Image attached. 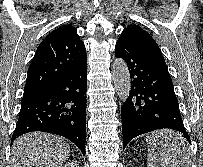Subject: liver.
<instances>
[{"label": "liver", "instance_id": "liver-1", "mask_svg": "<svg viewBox=\"0 0 203 167\" xmlns=\"http://www.w3.org/2000/svg\"><path fill=\"white\" fill-rule=\"evenodd\" d=\"M171 133L174 132L162 130L148 137L159 142ZM69 153L70 147L63 138L44 132H33L13 142L10 167H61Z\"/></svg>", "mask_w": 203, "mask_h": 167}]
</instances>
